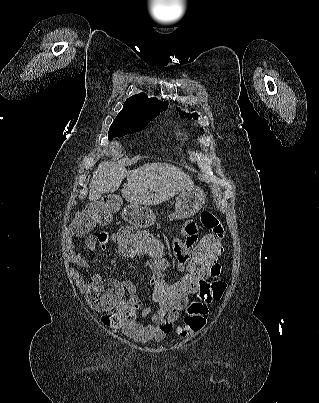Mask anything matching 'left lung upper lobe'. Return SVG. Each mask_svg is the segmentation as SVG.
<instances>
[{"label": "left lung upper lobe", "mask_w": 319, "mask_h": 403, "mask_svg": "<svg viewBox=\"0 0 319 403\" xmlns=\"http://www.w3.org/2000/svg\"><path fill=\"white\" fill-rule=\"evenodd\" d=\"M177 110L179 111L180 108H178ZM180 115H181L182 117L185 116V117H188V118H191V117H193V118H195V119L198 118V115L195 114V113H194V114H185L184 112H181Z\"/></svg>", "instance_id": "1"}]
</instances>
